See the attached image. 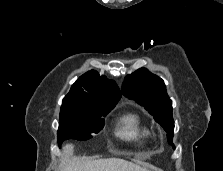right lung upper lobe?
I'll return each mask as SVG.
<instances>
[{
    "label": "right lung upper lobe",
    "mask_w": 223,
    "mask_h": 171,
    "mask_svg": "<svg viewBox=\"0 0 223 171\" xmlns=\"http://www.w3.org/2000/svg\"><path fill=\"white\" fill-rule=\"evenodd\" d=\"M121 93L114 81L100 76L97 71L83 74L64 97L62 106H115Z\"/></svg>",
    "instance_id": "right-lung-upper-lobe-1"
}]
</instances>
